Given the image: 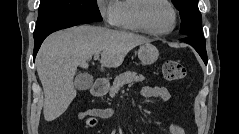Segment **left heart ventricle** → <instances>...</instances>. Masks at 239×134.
Returning <instances> with one entry per match:
<instances>
[{
	"instance_id": "b2bd125f",
	"label": "left heart ventricle",
	"mask_w": 239,
	"mask_h": 134,
	"mask_svg": "<svg viewBox=\"0 0 239 134\" xmlns=\"http://www.w3.org/2000/svg\"><path fill=\"white\" fill-rule=\"evenodd\" d=\"M147 22L155 31H165L172 25V13L169 7L161 1H153L146 12Z\"/></svg>"
}]
</instances>
